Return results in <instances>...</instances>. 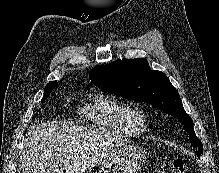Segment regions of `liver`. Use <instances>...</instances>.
<instances>
[{"label": "liver", "instance_id": "obj_1", "mask_svg": "<svg viewBox=\"0 0 219 173\" xmlns=\"http://www.w3.org/2000/svg\"><path fill=\"white\" fill-rule=\"evenodd\" d=\"M124 140L94 128L65 122L31 127L19 159V173H84Z\"/></svg>", "mask_w": 219, "mask_h": 173}]
</instances>
